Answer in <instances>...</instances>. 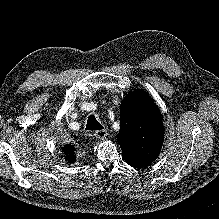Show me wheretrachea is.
<instances>
[{
    "label": "trachea",
    "mask_w": 219,
    "mask_h": 219,
    "mask_svg": "<svg viewBox=\"0 0 219 219\" xmlns=\"http://www.w3.org/2000/svg\"><path fill=\"white\" fill-rule=\"evenodd\" d=\"M102 129H104L102 124L98 122V120L94 115H90L87 120L86 130L94 131V130H102Z\"/></svg>",
    "instance_id": "1"
}]
</instances>
